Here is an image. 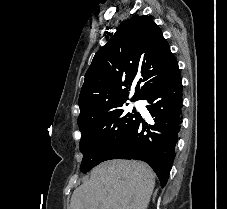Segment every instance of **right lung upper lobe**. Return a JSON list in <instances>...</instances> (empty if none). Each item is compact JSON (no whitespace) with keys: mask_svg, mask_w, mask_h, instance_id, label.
Masks as SVG:
<instances>
[{"mask_svg":"<svg viewBox=\"0 0 227 209\" xmlns=\"http://www.w3.org/2000/svg\"><path fill=\"white\" fill-rule=\"evenodd\" d=\"M175 64L168 43L152 18L132 16L95 54L80 92L78 119L102 113L106 99L127 100L135 85L131 100H143L166 76L153 73V69Z\"/></svg>","mask_w":227,"mask_h":209,"instance_id":"right-lung-upper-lobe-1","label":"right lung upper lobe"}]
</instances>
